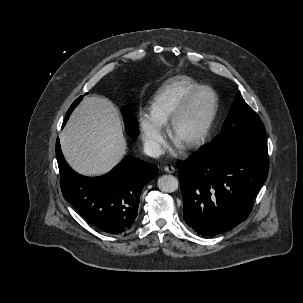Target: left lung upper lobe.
<instances>
[{"label": "left lung upper lobe", "instance_id": "1", "mask_svg": "<svg viewBox=\"0 0 303 303\" xmlns=\"http://www.w3.org/2000/svg\"><path fill=\"white\" fill-rule=\"evenodd\" d=\"M231 150L268 159L267 139L259 116L237 93L221 132L206 148Z\"/></svg>", "mask_w": 303, "mask_h": 303}]
</instances>
